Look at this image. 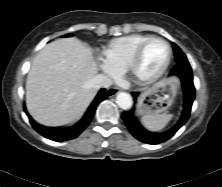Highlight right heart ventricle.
I'll return each instance as SVG.
<instances>
[{"label":"right heart ventricle","mask_w":222,"mask_h":187,"mask_svg":"<svg viewBox=\"0 0 222 187\" xmlns=\"http://www.w3.org/2000/svg\"><path fill=\"white\" fill-rule=\"evenodd\" d=\"M151 37L132 34L114 38L103 48L102 55L117 71H126L138 47Z\"/></svg>","instance_id":"e07e8e85"}]
</instances>
